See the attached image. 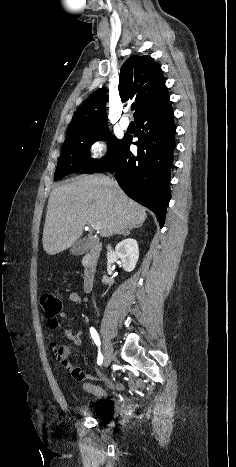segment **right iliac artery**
Wrapping results in <instances>:
<instances>
[{"label":"right iliac artery","instance_id":"1","mask_svg":"<svg viewBox=\"0 0 236 467\" xmlns=\"http://www.w3.org/2000/svg\"><path fill=\"white\" fill-rule=\"evenodd\" d=\"M90 334H91V337L92 339L94 340L95 344L98 346V358H97V364L98 365H101L103 363V355L100 351V345H101V342H100V338H99V335L97 333V331L91 327L90 328Z\"/></svg>","mask_w":236,"mask_h":467}]
</instances>
